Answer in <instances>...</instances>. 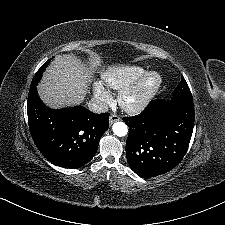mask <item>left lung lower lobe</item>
<instances>
[{
	"instance_id": "0a47b994",
	"label": "left lung lower lobe",
	"mask_w": 225,
	"mask_h": 225,
	"mask_svg": "<svg viewBox=\"0 0 225 225\" xmlns=\"http://www.w3.org/2000/svg\"><path fill=\"white\" fill-rule=\"evenodd\" d=\"M193 99L153 100L139 115L123 117L129 127L126 157L142 178L164 174L185 155L194 127Z\"/></svg>"
}]
</instances>
